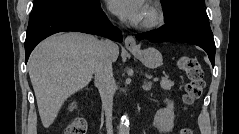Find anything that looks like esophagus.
<instances>
[{
  "instance_id": "esophagus-1",
  "label": "esophagus",
  "mask_w": 239,
  "mask_h": 134,
  "mask_svg": "<svg viewBox=\"0 0 239 134\" xmlns=\"http://www.w3.org/2000/svg\"><path fill=\"white\" fill-rule=\"evenodd\" d=\"M125 47L127 49H135V48H137L136 40H135V38L133 36L128 35L125 38Z\"/></svg>"
}]
</instances>
